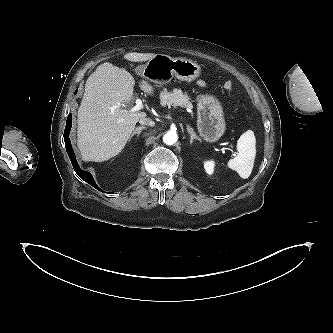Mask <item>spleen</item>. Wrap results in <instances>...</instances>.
Returning a JSON list of instances; mask_svg holds the SVG:
<instances>
[{"mask_svg": "<svg viewBox=\"0 0 333 333\" xmlns=\"http://www.w3.org/2000/svg\"><path fill=\"white\" fill-rule=\"evenodd\" d=\"M255 136L253 131L243 133L237 142V156L230 159L227 166L236 171L243 179H247L253 169L256 156Z\"/></svg>", "mask_w": 333, "mask_h": 333, "instance_id": "3e777b00", "label": "spleen"}]
</instances>
